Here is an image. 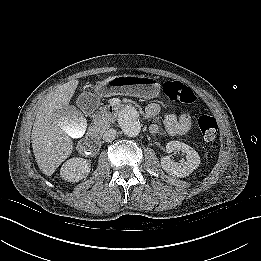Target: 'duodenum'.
Instances as JSON below:
<instances>
[{
	"instance_id": "410a0bca",
	"label": "duodenum",
	"mask_w": 261,
	"mask_h": 261,
	"mask_svg": "<svg viewBox=\"0 0 261 261\" xmlns=\"http://www.w3.org/2000/svg\"><path fill=\"white\" fill-rule=\"evenodd\" d=\"M105 117L109 120H113L116 117V113L110 106L104 109ZM101 123L98 122L95 127L91 129L87 138L80 142L78 145V151L83 155H91L97 152L101 147L99 128Z\"/></svg>"
}]
</instances>
